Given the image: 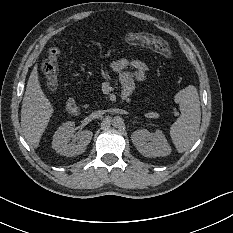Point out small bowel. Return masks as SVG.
<instances>
[{
    "instance_id": "small-bowel-1",
    "label": "small bowel",
    "mask_w": 233,
    "mask_h": 233,
    "mask_svg": "<svg viewBox=\"0 0 233 233\" xmlns=\"http://www.w3.org/2000/svg\"><path fill=\"white\" fill-rule=\"evenodd\" d=\"M129 68L130 70H128ZM111 69L118 74L122 97L127 99L133 94L135 83L143 82L146 79L148 66L139 59L119 58L111 63Z\"/></svg>"
}]
</instances>
